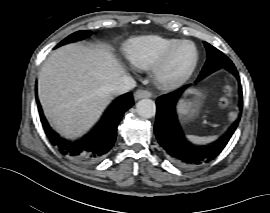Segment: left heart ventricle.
Instances as JSON below:
<instances>
[{
    "label": "left heart ventricle",
    "mask_w": 270,
    "mask_h": 213,
    "mask_svg": "<svg viewBox=\"0 0 270 213\" xmlns=\"http://www.w3.org/2000/svg\"><path fill=\"white\" fill-rule=\"evenodd\" d=\"M194 50L190 44H181L174 52L169 65V74H179L185 71L193 62Z\"/></svg>",
    "instance_id": "b2bd125f"
}]
</instances>
